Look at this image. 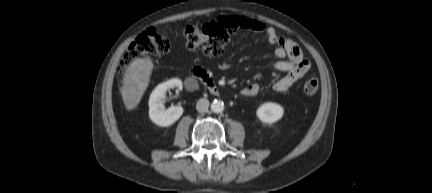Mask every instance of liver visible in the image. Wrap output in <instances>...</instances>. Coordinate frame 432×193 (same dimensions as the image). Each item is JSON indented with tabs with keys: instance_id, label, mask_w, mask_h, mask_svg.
<instances>
[{
	"instance_id": "obj_1",
	"label": "liver",
	"mask_w": 432,
	"mask_h": 193,
	"mask_svg": "<svg viewBox=\"0 0 432 193\" xmlns=\"http://www.w3.org/2000/svg\"><path fill=\"white\" fill-rule=\"evenodd\" d=\"M152 62L147 59H137L128 68L123 78L121 95L126 110L137 107L150 81Z\"/></svg>"
}]
</instances>
